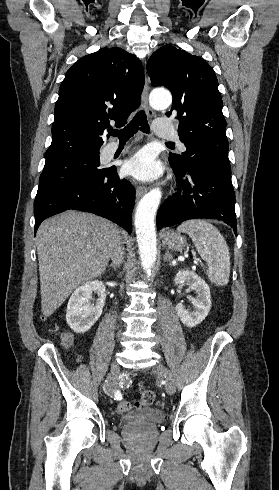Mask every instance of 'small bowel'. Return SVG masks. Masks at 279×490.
<instances>
[{"instance_id":"c3829d8e","label":"small bowel","mask_w":279,"mask_h":490,"mask_svg":"<svg viewBox=\"0 0 279 490\" xmlns=\"http://www.w3.org/2000/svg\"><path fill=\"white\" fill-rule=\"evenodd\" d=\"M80 361H81V357H78V362H80Z\"/></svg>"}]
</instances>
